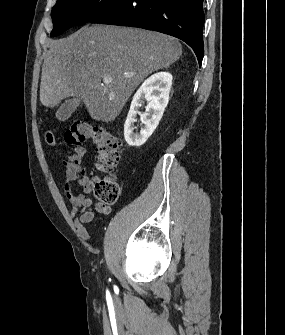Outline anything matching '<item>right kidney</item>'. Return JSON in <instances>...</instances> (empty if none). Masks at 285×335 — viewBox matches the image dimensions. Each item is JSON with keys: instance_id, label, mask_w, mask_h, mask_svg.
Here are the masks:
<instances>
[{"instance_id": "1", "label": "right kidney", "mask_w": 285, "mask_h": 335, "mask_svg": "<svg viewBox=\"0 0 285 335\" xmlns=\"http://www.w3.org/2000/svg\"><path fill=\"white\" fill-rule=\"evenodd\" d=\"M172 80V74L169 72H158L145 80L137 90L124 124V138L129 146H135V148L143 146L156 130L169 102ZM143 102H147L146 112L140 114L144 126L139 134H134V122H137L136 114H139L138 110Z\"/></svg>"}]
</instances>
